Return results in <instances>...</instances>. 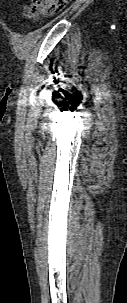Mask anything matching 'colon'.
I'll return each instance as SVG.
<instances>
[{
  "label": "colon",
  "mask_w": 127,
  "mask_h": 303,
  "mask_svg": "<svg viewBox=\"0 0 127 303\" xmlns=\"http://www.w3.org/2000/svg\"><path fill=\"white\" fill-rule=\"evenodd\" d=\"M69 0H32L31 12L35 15L63 9Z\"/></svg>",
  "instance_id": "1"
}]
</instances>
